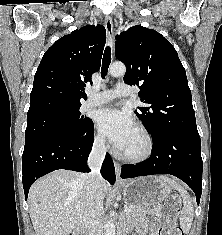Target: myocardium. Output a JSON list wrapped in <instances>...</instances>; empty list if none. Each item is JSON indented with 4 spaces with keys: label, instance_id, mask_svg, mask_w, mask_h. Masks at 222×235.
I'll return each mask as SVG.
<instances>
[{
    "label": "myocardium",
    "instance_id": "myocardium-1",
    "mask_svg": "<svg viewBox=\"0 0 222 235\" xmlns=\"http://www.w3.org/2000/svg\"><path fill=\"white\" fill-rule=\"evenodd\" d=\"M135 128L145 139L146 148L142 153L136 155L120 153V158L129 163H141L148 160L152 156L155 148L154 138L148 129L140 124L136 125Z\"/></svg>",
    "mask_w": 222,
    "mask_h": 235
}]
</instances>
